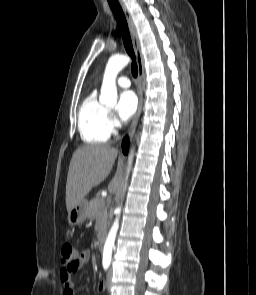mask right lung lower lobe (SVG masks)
<instances>
[{
  "mask_svg": "<svg viewBox=\"0 0 256 295\" xmlns=\"http://www.w3.org/2000/svg\"><path fill=\"white\" fill-rule=\"evenodd\" d=\"M128 146H129L128 137H125L122 142V149H123L124 154H127Z\"/></svg>",
  "mask_w": 256,
  "mask_h": 295,
  "instance_id": "obj_1",
  "label": "right lung lower lobe"
}]
</instances>
